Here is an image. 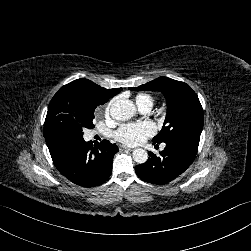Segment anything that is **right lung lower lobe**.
Instances as JSON below:
<instances>
[{
	"instance_id": "98d812e1",
	"label": "right lung lower lobe",
	"mask_w": 251,
	"mask_h": 251,
	"mask_svg": "<svg viewBox=\"0 0 251 251\" xmlns=\"http://www.w3.org/2000/svg\"><path fill=\"white\" fill-rule=\"evenodd\" d=\"M46 139L56 169L71 182L94 187L105 182L112 171L116 144L103 140L98 147L83 138L52 135Z\"/></svg>"
}]
</instances>
